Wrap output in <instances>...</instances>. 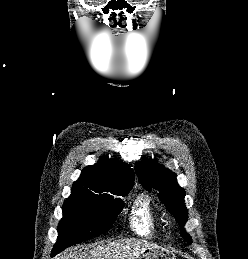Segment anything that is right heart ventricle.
I'll return each instance as SVG.
<instances>
[{
  "label": "right heart ventricle",
  "instance_id": "right-heart-ventricle-1",
  "mask_svg": "<svg viewBox=\"0 0 248 259\" xmlns=\"http://www.w3.org/2000/svg\"><path fill=\"white\" fill-rule=\"evenodd\" d=\"M159 217L154 212L151 204V200L148 196H139L132 208L131 212V224L133 228L140 233H151Z\"/></svg>",
  "mask_w": 248,
  "mask_h": 259
}]
</instances>
